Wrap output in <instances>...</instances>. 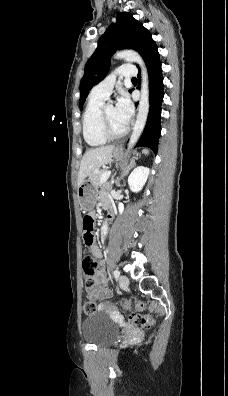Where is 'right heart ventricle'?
Here are the masks:
<instances>
[{
    "mask_svg": "<svg viewBox=\"0 0 228 396\" xmlns=\"http://www.w3.org/2000/svg\"><path fill=\"white\" fill-rule=\"evenodd\" d=\"M104 101L105 98L91 93L83 114V137L86 143L91 147L103 146L108 141V139L102 134L100 128V111L104 105Z\"/></svg>",
    "mask_w": 228,
    "mask_h": 396,
    "instance_id": "1",
    "label": "right heart ventricle"
}]
</instances>
